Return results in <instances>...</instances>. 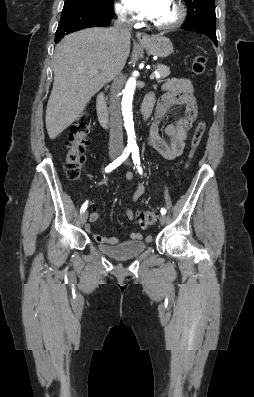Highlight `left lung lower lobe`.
Returning a JSON list of instances; mask_svg holds the SVG:
<instances>
[{"label":"left lung lower lobe","mask_w":254,"mask_h":397,"mask_svg":"<svg viewBox=\"0 0 254 397\" xmlns=\"http://www.w3.org/2000/svg\"><path fill=\"white\" fill-rule=\"evenodd\" d=\"M182 29L196 31L209 37L217 46L215 12L200 13L188 9V15Z\"/></svg>","instance_id":"obj_1"}]
</instances>
